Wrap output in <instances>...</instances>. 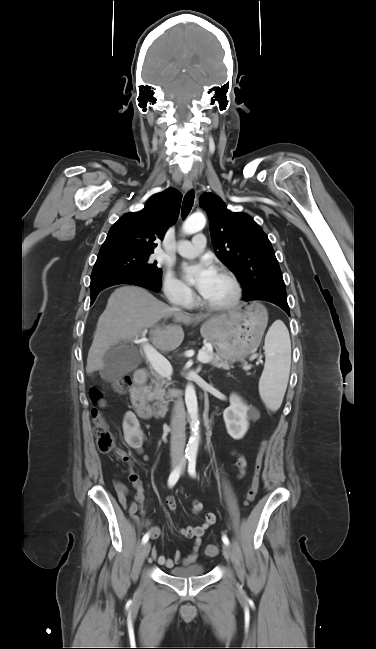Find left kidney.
Here are the masks:
<instances>
[{
	"label": "left kidney",
	"instance_id": "5707ae66",
	"mask_svg": "<svg viewBox=\"0 0 376 649\" xmlns=\"http://www.w3.org/2000/svg\"><path fill=\"white\" fill-rule=\"evenodd\" d=\"M248 406L236 394L230 396V406L223 412L227 433L234 439L242 438L249 427Z\"/></svg>",
	"mask_w": 376,
	"mask_h": 649
}]
</instances>
